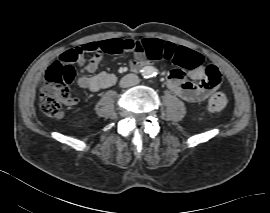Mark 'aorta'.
Listing matches in <instances>:
<instances>
[{
    "mask_svg": "<svg viewBox=\"0 0 270 213\" xmlns=\"http://www.w3.org/2000/svg\"><path fill=\"white\" fill-rule=\"evenodd\" d=\"M155 69L152 66H146L142 70V75L144 77H152Z\"/></svg>",
    "mask_w": 270,
    "mask_h": 213,
    "instance_id": "762f6f07",
    "label": "aorta"
}]
</instances>
